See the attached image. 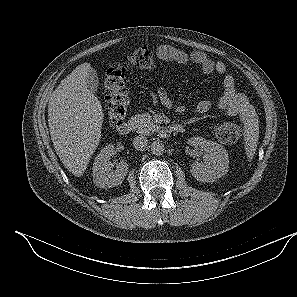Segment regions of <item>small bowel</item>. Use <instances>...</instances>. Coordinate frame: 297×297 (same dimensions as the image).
<instances>
[{
  "mask_svg": "<svg viewBox=\"0 0 297 297\" xmlns=\"http://www.w3.org/2000/svg\"><path fill=\"white\" fill-rule=\"evenodd\" d=\"M156 53L162 61L172 62L182 66L194 64L204 74L217 73L223 76V94L218 100H203L193 109H188L184 106L174 104L167 90L162 87L158 90V98L164 107L179 113L193 112L196 114H204L216 107L230 116H240L247 109L248 101L246 96L236 89L235 80L231 75L227 74V69L223 62L215 61L200 51L188 53L170 45L158 46Z\"/></svg>",
  "mask_w": 297,
  "mask_h": 297,
  "instance_id": "small-bowel-1",
  "label": "small bowel"
}]
</instances>
